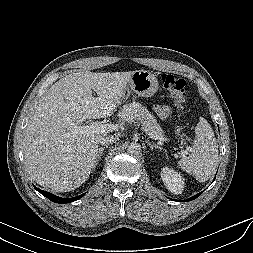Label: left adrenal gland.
<instances>
[{
	"instance_id": "obj_1",
	"label": "left adrenal gland",
	"mask_w": 253,
	"mask_h": 253,
	"mask_svg": "<svg viewBox=\"0 0 253 253\" xmlns=\"http://www.w3.org/2000/svg\"><path fill=\"white\" fill-rule=\"evenodd\" d=\"M146 143H147L148 146H150L151 150H153L154 148H155V149H160V150L163 149L162 147H160V146H158V145H155V144H152V143L149 142V141H147Z\"/></svg>"
}]
</instances>
